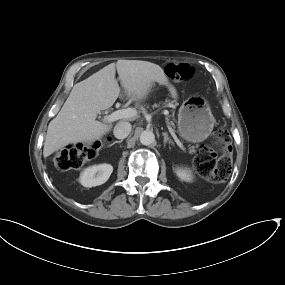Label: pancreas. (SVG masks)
<instances>
[{
  "instance_id": "pancreas-1",
  "label": "pancreas",
  "mask_w": 285,
  "mask_h": 285,
  "mask_svg": "<svg viewBox=\"0 0 285 285\" xmlns=\"http://www.w3.org/2000/svg\"><path fill=\"white\" fill-rule=\"evenodd\" d=\"M155 106H158V105H155ZM171 125H173V122H171ZM194 152L193 149L190 150V153Z\"/></svg>"
}]
</instances>
